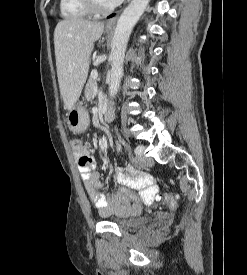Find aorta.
Returning <instances> with one entry per match:
<instances>
[{
    "label": "aorta",
    "instance_id": "obj_1",
    "mask_svg": "<svg viewBox=\"0 0 247 275\" xmlns=\"http://www.w3.org/2000/svg\"><path fill=\"white\" fill-rule=\"evenodd\" d=\"M148 3L149 0H132L118 19L112 39V50L110 54V97H114L118 92L121 77L123 75V62L129 37L137 21L144 13Z\"/></svg>",
    "mask_w": 247,
    "mask_h": 275
}]
</instances>
